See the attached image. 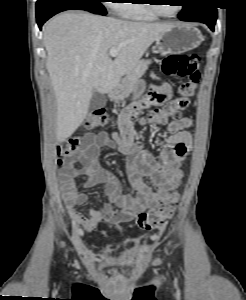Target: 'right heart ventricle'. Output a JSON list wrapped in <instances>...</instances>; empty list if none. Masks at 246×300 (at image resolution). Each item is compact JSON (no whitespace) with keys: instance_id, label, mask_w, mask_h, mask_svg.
Here are the masks:
<instances>
[{"instance_id":"e07e8e85","label":"right heart ventricle","mask_w":246,"mask_h":300,"mask_svg":"<svg viewBox=\"0 0 246 300\" xmlns=\"http://www.w3.org/2000/svg\"><path fill=\"white\" fill-rule=\"evenodd\" d=\"M147 0H127L125 3L115 4V11L121 17L140 21H157L158 16L151 10Z\"/></svg>"}]
</instances>
